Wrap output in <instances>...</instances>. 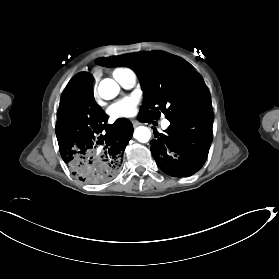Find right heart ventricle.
Listing matches in <instances>:
<instances>
[{
  "mask_svg": "<svg viewBox=\"0 0 279 279\" xmlns=\"http://www.w3.org/2000/svg\"><path fill=\"white\" fill-rule=\"evenodd\" d=\"M129 72H133L127 68H117L112 72L114 79L121 85L122 78L126 76ZM122 86V85H121Z\"/></svg>",
  "mask_w": 279,
  "mask_h": 279,
  "instance_id": "obj_1",
  "label": "right heart ventricle"
}]
</instances>
